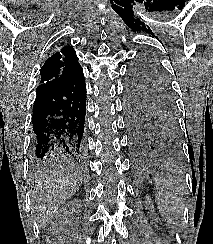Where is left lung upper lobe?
I'll return each instance as SVG.
<instances>
[{
  "label": "left lung upper lobe",
  "instance_id": "left-lung-upper-lobe-1",
  "mask_svg": "<svg viewBox=\"0 0 213 244\" xmlns=\"http://www.w3.org/2000/svg\"><path fill=\"white\" fill-rule=\"evenodd\" d=\"M128 111L144 118L162 140L179 135L176 100L166 72L145 56L130 67L125 92Z\"/></svg>",
  "mask_w": 213,
  "mask_h": 244
}]
</instances>
